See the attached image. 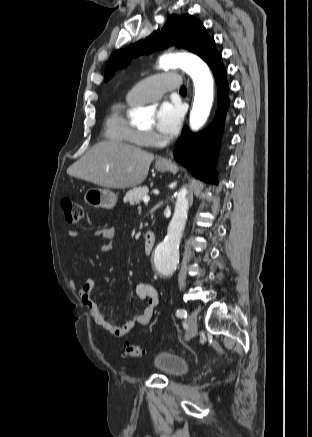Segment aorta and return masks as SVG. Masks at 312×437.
Here are the masks:
<instances>
[{
	"label": "aorta",
	"instance_id": "1",
	"mask_svg": "<svg viewBox=\"0 0 312 437\" xmlns=\"http://www.w3.org/2000/svg\"><path fill=\"white\" fill-rule=\"evenodd\" d=\"M159 66L163 69L180 67L188 73L194 82L195 96L190 113V127L199 130L206 122L213 102V78L206 63L199 57L186 54H167L160 58ZM138 116L147 118L143 109L138 110ZM187 190L182 188L177 193L175 210L168 226L165 239L157 246L154 262L157 271L163 275L171 274L179 261V243L185 228L188 214Z\"/></svg>",
	"mask_w": 312,
	"mask_h": 437
}]
</instances>
